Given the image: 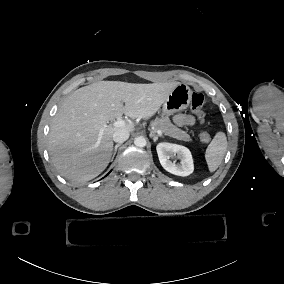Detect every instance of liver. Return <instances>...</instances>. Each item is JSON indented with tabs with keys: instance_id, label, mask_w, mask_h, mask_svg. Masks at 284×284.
I'll return each instance as SVG.
<instances>
[{
	"instance_id": "1",
	"label": "liver",
	"mask_w": 284,
	"mask_h": 284,
	"mask_svg": "<svg viewBox=\"0 0 284 284\" xmlns=\"http://www.w3.org/2000/svg\"><path fill=\"white\" fill-rule=\"evenodd\" d=\"M180 84L100 81L72 92L50 126L48 151L55 169L73 181L96 178L111 161L113 134L135 130L134 124L126 123L122 127H107L100 136L102 125L123 114L130 119L149 120Z\"/></svg>"
}]
</instances>
